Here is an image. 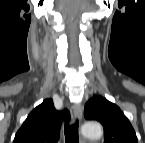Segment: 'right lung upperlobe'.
Here are the masks:
<instances>
[{"label": "right lung upper lobe", "mask_w": 145, "mask_h": 143, "mask_svg": "<svg viewBox=\"0 0 145 143\" xmlns=\"http://www.w3.org/2000/svg\"><path fill=\"white\" fill-rule=\"evenodd\" d=\"M64 119L69 121V112L57 111L52 99H46L30 112L14 143H56Z\"/></svg>", "instance_id": "obj_1"}]
</instances>
